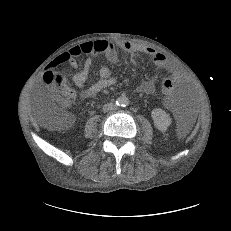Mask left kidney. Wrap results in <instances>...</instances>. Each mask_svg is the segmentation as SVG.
<instances>
[{"label": "left kidney", "mask_w": 231, "mask_h": 231, "mask_svg": "<svg viewBox=\"0 0 231 231\" xmlns=\"http://www.w3.org/2000/svg\"><path fill=\"white\" fill-rule=\"evenodd\" d=\"M151 116L154 121V125L161 131H166L172 123L170 115L161 108L153 109Z\"/></svg>", "instance_id": "1"}]
</instances>
